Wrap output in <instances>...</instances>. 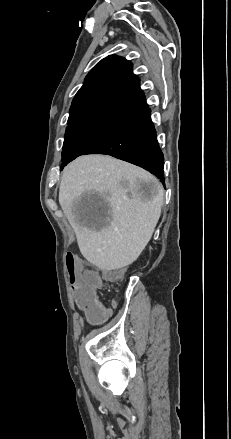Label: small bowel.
Instances as JSON below:
<instances>
[{
  "mask_svg": "<svg viewBox=\"0 0 231 439\" xmlns=\"http://www.w3.org/2000/svg\"><path fill=\"white\" fill-rule=\"evenodd\" d=\"M75 288V287H74ZM108 314H109V310H108ZM91 322H94V323H99V322H101L102 320H91V318L89 319Z\"/></svg>",
  "mask_w": 231,
  "mask_h": 439,
  "instance_id": "1",
  "label": "small bowel"
}]
</instances>
